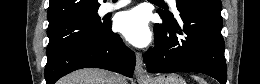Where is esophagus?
I'll return each mask as SVG.
<instances>
[{"mask_svg": "<svg viewBox=\"0 0 260 84\" xmlns=\"http://www.w3.org/2000/svg\"><path fill=\"white\" fill-rule=\"evenodd\" d=\"M135 77L138 82H143L149 78L146 69L143 66L141 53L136 54Z\"/></svg>", "mask_w": 260, "mask_h": 84, "instance_id": "34e87169", "label": "esophagus"}]
</instances>
